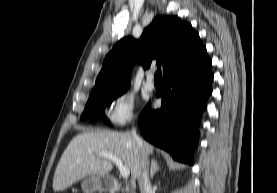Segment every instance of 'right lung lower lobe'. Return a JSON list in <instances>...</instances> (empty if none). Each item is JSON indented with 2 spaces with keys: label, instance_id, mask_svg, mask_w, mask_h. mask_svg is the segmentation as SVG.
Listing matches in <instances>:
<instances>
[{
  "label": "right lung lower lobe",
  "instance_id": "98d812e1",
  "mask_svg": "<svg viewBox=\"0 0 277 193\" xmlns=\"http://www.w3.org/2000/svg\"><path fill=\"white\" fill-rule=\"evenodd\" d=\"M210 66L204 47L168 71L164 75L165 88L157 93L163 98L161 109L152 111L148 104L139 118L144 138L181 162L193 164L201 115L212 93Z\"/></svg>",
  "mask_w": 277,
  "mask_h": 193
}]
</instances>
